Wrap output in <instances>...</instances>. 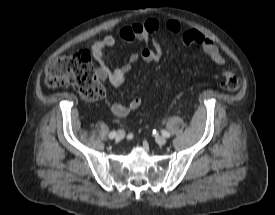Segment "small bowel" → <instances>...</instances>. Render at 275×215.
<instances>
[{"instance_id":"c3829d8e","label":"small bowel","mask_w":275,"mask_h":215,"mask_svg":"<svg viewBox=\"0 0 275 215\" xmlns=\"http://www.w3.org/2000/svg\"><path fill=\"white\" fill-rule=\"evenodd\" d=\"M160 22L156 18L147 19L144 22H135L123 26L119 31V37L126 43L139 42L145 47L139 53H132L128 63L119 68H110L106 62L104 51L117 44V39L112 35H106L96 41L92 46V54L98 65L96 75L100 80L108 81L112 86L120 87L133 64L142 60L146 63H156L163 55V47L157 38ZM166 30L171 34H178L181 31L180 23L169 18L165 23ZM183 43L187 46H200L204 53L216 64L223 65L225 57L219 48L206 36L196 30H187L182 35ZM141 99L136 97L128 105L112 103L111 112L117 117L126 116L129 111L136 110L141 106Z\"/></svg>"}]
</instances>
